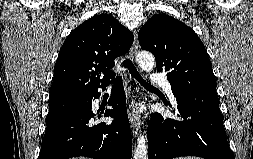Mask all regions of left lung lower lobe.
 I'll use <instances>...</instances> for the list:
<instances>
[{"label": "left lung lower lobe", "instance_id": "obj_1", "mask_svg": "<svg viewBox=\"0 0 253 159\" xmlns=\"http://www.w3.org/2000/svg\"><path fill=\"white\" fill-rule=\"evenodd\" d=\"M173 94L181 120L152 115L148 125L149 159H235L227 142L217 94L185 90Z\"/></svg>", "mask_w": 253, "mask_h": 159}]
</instances>
